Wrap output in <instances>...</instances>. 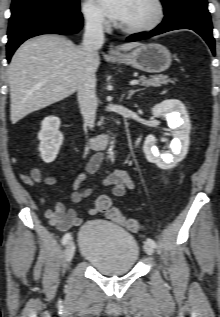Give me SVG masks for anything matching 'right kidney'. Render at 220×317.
I'll return each mask as SVG.
<instances>
[{"instance_id":"ca27d5eb","label":"right kidney","mask_w":220,"mask_h":317,"mask_svg":"<svg viewBox=\"0 0 220 317\" xmlns=\"http://www.w3.org/2000/svg\"><path fill=\"white\" fill-rule=\"evenodd\" d=\"M60 120L58 117H46L41 123V130L38 134L40 140L39 151L45 163L55 160L60 146L63 142V134L59 131Z\"/></svg>"}]
</instances>
